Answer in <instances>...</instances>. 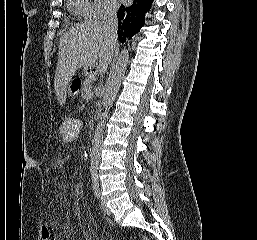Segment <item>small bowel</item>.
<instances>
[{"instance_id":"small-bowel-1","label":"small bowel","mask_w":257,"mask_h":240,"mask_svg":"<svg viewBox=\"0 0 257 240\" xmlns=\"http://www.w3.org/2000/svg\"><path fill=\"white\" fill-rule=\"evenodd\" d=\"M72 235H73V230L71 227L70 219L66 218L62 223V225L60 226V229L58 230L53 240L70 239Z\"/></svg>"}]
</instances>
